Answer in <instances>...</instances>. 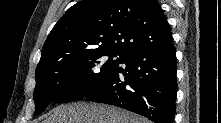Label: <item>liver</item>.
<instances>
[{
	"instance_id": "obj_1",
	"label": "liver",
	"mask_w": 221,
	"mask_h": 123,
	"mask_svg": "<svg viewBox=\"0 0 221 123\" xmlns=\"http://www.w3.org/2000/svg\"><path fill=\"white\" fill-rule=\"evenodd\" d=\"M42 123H149L114 106L76 102L54 108Z\"/></svg>"
}]
</instances>
